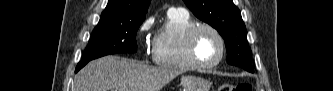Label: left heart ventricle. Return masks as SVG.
<instances>
[{
	"instance_id": "obj_1",
	"label": "left heart ventricle",
	"mask_w": 333,
	"mask_h": 91,
	"mask_svg": "<svg viewBox=\"0 0 333 91\" xmlns=\"http://www.w3.org/2000/svg\"><path fill=\"white\" fill-rule=\"evenodd\" d=\"M196 53L204 63L217 60L220 54V43L217 37L208 30L201 31L196 40Z\"/></svg>"
}]
</instances>
